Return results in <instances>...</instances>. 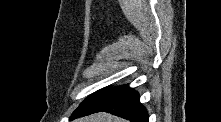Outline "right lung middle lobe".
Wrapping results in <instances>:
<instances>
[{"mask_svg":"<svg viewBox=\"0 0 221 122\" xmlns=\"http://www.w3.org/2000/svg\"><path fill=\"white\" fill-rule=\"evenodd\" d=\"M106 89H101V90H99V91H97L96 93H94L91 97H93V96H96L97 94H99V93H101V92H103V91H105ZM91 97H89V98H91ZM88 98V99H89Z\"/></svg>","mask_w":221,"mask_h":122,"instance_id":"1","label":"right lung middle lobe"}]
</instances>
